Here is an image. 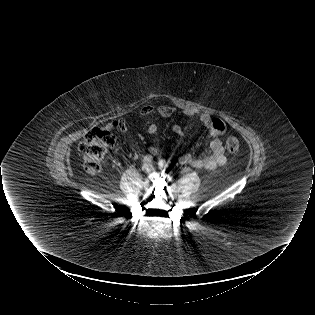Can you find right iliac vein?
Listing matches in <instances>:
<instances>
[{"mask_svg": "<svg viewBox=\"0 0 315 315\" xmlns=\"http://www.w3.org/2000/svg\"><path fill=\"white\" fill-rule=\"evenodd\" d=\"M142 170L146 173H149L152 170V166L150 164H144L142 166Z\"/></svg>", "mask_w": 315, "mask_h": 315, "instance_id": "63e3f726", "label": "right iliac vein"}]
</instances>
